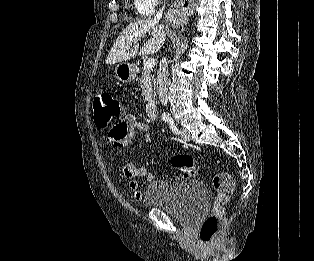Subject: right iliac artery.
<instances>
[{
	"instance_id": "right-iliac-artery-1",
	"label": "right iliac artery",
	"mask_w": 314,
	"mask_h": 261,
	"mask_svg": "<svg viewBox=\"0 0 314 261\" xmlns=\"http://www.w3.org/2000/svg\"><path fill=\"white\" fill-rule=\"evenodd\" d=\"M168 119L166 118V119H164V121H167Z\"/></svg>"
}]
</instances>
